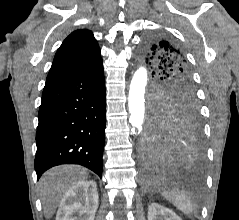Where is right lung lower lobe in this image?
I'll use <instances>...</instances> for the list:
<instances>
[{"label": "right lung lower lobe", "mask_w": 239, "mask_h": 220, "mask_svg": "<svg viewBox=\"0 0 239 220\" xmlns=\"http://www.w3.org/2000/svg\"><path fill=\"white\" fill-rule=\"evenodd\" d=\"M105 114L102 60L68 77L47 82L36 133L37 178L61 164H80L101 177Z\"/></svg>", "instance_id": "obj_1"}]
</instances>
